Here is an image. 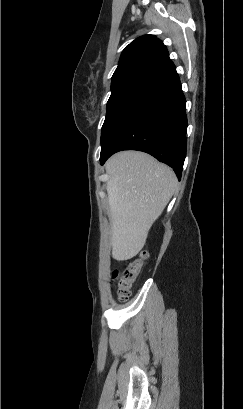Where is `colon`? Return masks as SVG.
<instances>
[{
    "label": "colon",
    "instance_id": "colon-1",
    "mask_svg": "<svg viewBox=\"0 0 243 409\" xmlns=\"http://www.w3.org/2000/svg\"><path fill=\"white\" fill-rule=\"evenodd\" d=\"M146 260V254L129 261L123 268L113 272V280L116 283V292L119 300H126L137 280L142 266Z\"/></svg>",
    "mask_w": 243,
    "mask_h": 409
}]
</instances>
